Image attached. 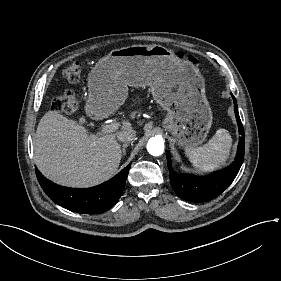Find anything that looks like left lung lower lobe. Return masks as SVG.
Returning a JSON list of instances; mask_svg holds the SVG:
<instances>
[{
	"instance_id": "0a47b994",
	"label": "left lung lower lobe",
	"mask_w": 281,
	"mask_h": 281,
	"mask_svg": "<svg viewBox=\"0 0 281 281\" xmlns=\"http://www.w3.org/2000/svg\"><path fill=\"white\" fill-rule=\"evenodd\" d=\"M234 111L238 123L239 138L237 156L227 169L213 173L205 177L194 175H178L171 167L170 155L167 154V163L170 174V184L178 197L192 201L205 202L220 195L235 179L244 160L245 136L244 129L239 117L237 102L234 96Z\"/></svg>"
}]
</instances>
